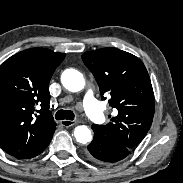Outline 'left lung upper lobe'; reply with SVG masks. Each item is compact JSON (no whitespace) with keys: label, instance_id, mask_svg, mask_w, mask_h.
I'll return each mask as SVG.
<instances>
[{"label":"left lung upper lobe","instance_id":"left-lung-upper-lobe-1","mask_svg":"<svg viewBox=\"0 0 183 183\" xmlns=\"http://www.w3.org/2000/svg\"><path fill=\"white\" fill-rule=\"evenodd\" d=\"M82 60L94 75L101 98L109 95L116 113L107 125H96L109 139L135 148L147 134L154 115V93L149 74L136 56L113 48L85 52Z\"/></svg>","mask_w":183,"mask_h":183}]
</instances>
